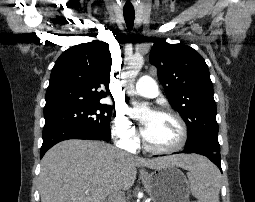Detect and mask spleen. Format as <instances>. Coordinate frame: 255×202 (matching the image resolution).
<instances>
[{
  "label": "spleen",
  "instance_id": "1",
  "mask_svg": "<svg viewBox=\"0 0 255 202\" xmlns=\"http://www.w3.org/2000/svg\"><path fill=\"white\" fill-rule=\"evenodd\" d=\"M220 176L219 170L206 158L200 157L194 163L187 177L198 202H219Z\"/></svg>",
  "mask_w": 255,
  "mask_h": 202
}]
</instances>
